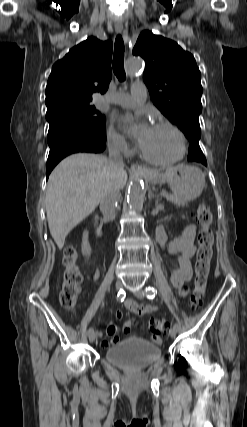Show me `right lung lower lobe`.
<instances>
[{"label": "right lung lower lobe", "instance_id": "1", "mask_svg": "<svg viewBox=\"0 0 247 427\" xmlns=\"http://www.w3.org/2000/svg\"><path fill=\"white\" fill-rule=\"evenodd\" d=\"M47 141L50 147L46 167L47 178L64 157L77 152L100 153L106 148L105 141L65 123L49 124Z\"/></svg>", "mask_w": 247, "mask_h": 427}]
</instances>
